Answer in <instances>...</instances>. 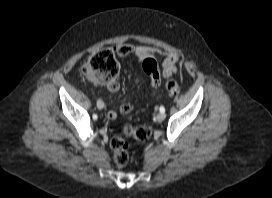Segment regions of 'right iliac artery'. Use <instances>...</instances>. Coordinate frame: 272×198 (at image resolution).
Masks as SVG:
<instances>
[{
	"instance_id": "1",
	"label": "right iliac artery",
	"mask_w": 272,
	"mask_h": 198,
	"mask_svg": "<svg viewBox=\"0 0 272 198\" xmlns=\"http://www.w3.org/2000/svg\"><path fill=\"white\" fill-rule=\"evenodd\" d=\"M93 119H97V115L96 114L93 115Z\"/></svg>"
}]
</instances>
